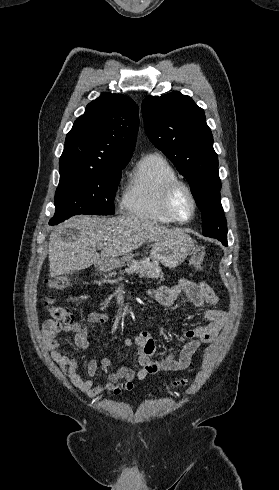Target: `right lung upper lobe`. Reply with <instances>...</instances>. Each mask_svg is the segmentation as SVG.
I'll return each mask as SVG.
<instances>
[{"instance_id":"1","label":"right lung upper lobe","mask_w":279,"mask_h":490,"mask_svg":"<svg viewBox=\"0 0 279 490\" xmlns=\"http://www.w3.org/2000/svg\"><path fill=\"white\" fill-rule=\"evenodd\" d=\"M139 127L138 107L122 94L102 93L67 134L60 168L128 164Z\"/></svg>"}]
</instances>
